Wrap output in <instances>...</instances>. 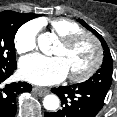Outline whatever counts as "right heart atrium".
Segmentation results:
<instances>
[{"label":"right heart atrium","mask_w":117,"mask_h":117,"mask_svg":"<svg viewBox=\"0 0 117 117\" xmlns=\"http://www.w3.org/2000/svg\"><path fill=\"white\" fill-rule=\"evenodd\" d=\"M39 31L40 24L37 21H29L22 25L14 39L17 52L24 54L36 49Z\"/></svg>","instance_id":"1"}]
</instances>
